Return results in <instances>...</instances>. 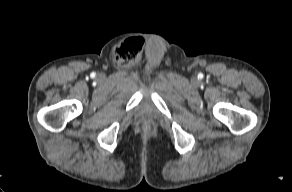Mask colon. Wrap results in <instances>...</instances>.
Instances as JSON below:
<instances>
[{
  "mask_svg": "<svg viewBox=\"0 0 292 192\" xmlns=\"http://www.w3.org/2000/svg\"><path fill=\"white\" fill-rule=\"evenodd\" d=\"M142 39L140 38H136L134 39L132 42H125L124 44H122L118 50H117V55L119 57H127V53L129 54V48L134 47L135 51L133 52V55H136L139 53L141 47H142Z\"/></svg>",
  "mask_w": 292,
  "mask_h": 192,
  "instance_id": "5ec220e1",
  "label": "colon"
}]
</instances>
